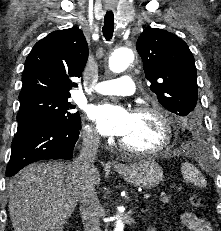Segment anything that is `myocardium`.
<instances>
[{
	"label": "myocardium",
	"mask_w": 221,
	"mask_h": 231,
	"mask_svg": "<svg viewBox=\"0 0 221 231\" xmlns=\"http://www.w3.org/2000/svg\"><path fill=\"white\" fill-rule=\"evenodd\" d=\"M133 113L154 115L159 120V122L163 127L164 130L163 140L160 143V145H158L157 147L150 148V149H140V148L131 147L128 144H126L122 139H120L118 143L123 150L137 155H157L164 152L172 145L173 126L170 117L164 110L152 105H140L134 109Z\"/></svg>",
	"instance_id": "myocardium-1"
}]
</instances>
